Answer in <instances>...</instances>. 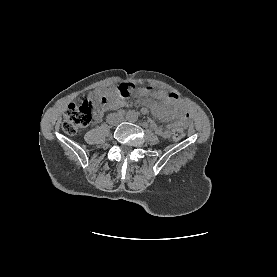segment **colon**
Here are the masks:
<instances>
[{
	"mask_svg": "<svg viewBox=\"0 0 277 277\" xmlns=\"http://www.w3.org/2000/svg\"><path fill=\"white\" fill-rule=\"evenodd\" d=\"M134 90L133 85L122 84L117 89V97H129ZM110 102V98L106 96H97L94 98H80L76 102L70 104L65 112L63 120V130L67 134H75L80 129L86 127L98 108L106 107ZM185 136V126L182 121H176L172 129V138L181 140Z\"/></svg>",
	"mask_w": 277,
	"mask_h": 277,
	"instance_id": "5ec220e1",
	"label": "colon"
}]
</instances>
